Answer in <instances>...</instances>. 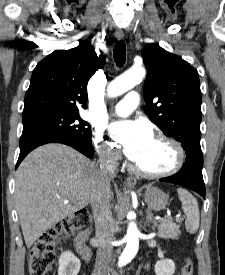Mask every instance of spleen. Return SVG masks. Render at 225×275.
<instances>
[{"label":"spleen","mask_w":225,"mask_h":275,"mask_svg":"<svg viewBox=\"0 0 225 275\" xmlns=\"http://www.w3.org/2000/svg\"><path fill=\"white\" fill-rule=\"evenodd\" d=\"M178 197L182 203V210L186 215L185 227L187 232L194 234L199 228L200 214L196 198L187 190L178 188Z\"/></svg>","instance_id":"obj_1"}]
</instances>
